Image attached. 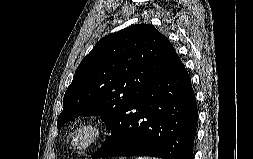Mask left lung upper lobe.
Returning <instances> with one entry per match:
<instances>
[{"mask_svg": "<svg viewBox=\"0 0 253 159\" xmlns=\"http://www.w3.org/2000/svg\"><path fill=\"white\" fill-rule=\"evenodd\" d=\"M175 56L169 40L149 24L105 36L78 66L63 98L58 129L76 117L100 115L112 136L128 107Z\"/></svg>", "mask_w": 253, "mask_h": 159, "instance_id": "left-lung-upper-lobe-1", "label": "left lung upper lobe"}]
</instances>
